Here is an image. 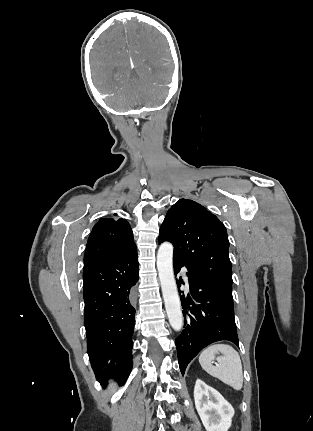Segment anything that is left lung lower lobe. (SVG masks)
Returning <instances> with one entry per match:
<instances>
[{"label": "left lung lower lobe", "mask_w": 313, "mask_h": 431, "mask_svg": "<svg viewBox=\"0 0 313 431\" xmlns=\"http://www.w3.org/2000/svg\"><path fill=\"white\" fill-rule=\"evenodd\" d=\"M183 266L182 262L174 259L175 275ZM187 276L190 294L186 298L184 295L180 296L185 317L184 330L175 341L182 374L189 362L209 344L228 340L239 345L232 289L198 278L190 270ZM181 282L183 280L180 277L177 280L180 293Z\"/></svg>", "instance_id": "obj_1"}]
</instances>
